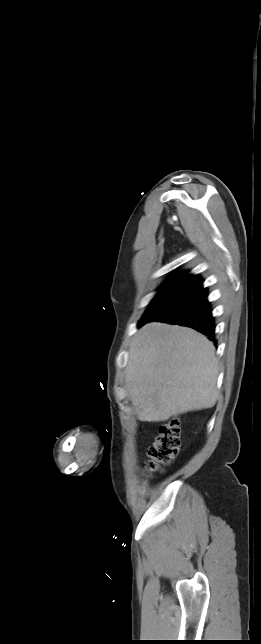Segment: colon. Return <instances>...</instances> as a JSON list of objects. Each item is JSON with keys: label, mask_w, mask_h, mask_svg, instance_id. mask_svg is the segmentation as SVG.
Masks as SVG:
<instances>
[{"label": "colon", "mask_w": 261, "mask_h": 644, "mask_svg": "<svg viewBox=\"0 0 261 644\" xmlns=\"http://www.w3.org/2000/svg\"><path fill=\"white\" fill-rule=\"evenodd\" d=\"M180 443L179 419L174 417L162 423L155 441L148 449L147 471L155 473L171 464L179 452Z\"/></svg>", "instance_id": "1"}]
</instances>
